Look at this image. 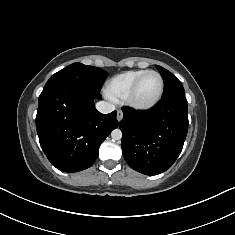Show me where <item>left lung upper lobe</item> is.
<instances>
[{"label": "left lung upper lobe", "instance_id": "left-lung-upper-lobe-1", "mask_svg": "<svg viewBox=\"0 0 235 235\" xmlns=\"http://www.w3.org/2000/svg\"><path fill=\"white\" fill-rule=\"evenodd\" d=\"M156 67L164 80V93L162 98L171 95L184 94V88L180 81L170 71L159 65H156Z\"/></svg>", "mask_w": 235, "mask_h": 235}]
</instances>
